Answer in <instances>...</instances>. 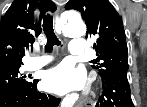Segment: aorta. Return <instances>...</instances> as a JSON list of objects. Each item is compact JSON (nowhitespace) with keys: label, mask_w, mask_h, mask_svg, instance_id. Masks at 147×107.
Returning a JSON list of instances; mask_svg holds the SVG:
<instances>
[{"label":"aorta","mask_w":147,"mask_h":107,"mask_svg":"<svg viewBox=\"0 0 147 107\" xmlns=\"http://www.w3.org/2000/svg\"><path fill=\"white\" fill-rule=\"evenodd\" d=\"M62 33L67 37H82L86 34V26L79 17H69L62 22Z\"/></svg>","instance_id":"aorta-1"}]
</instances>
